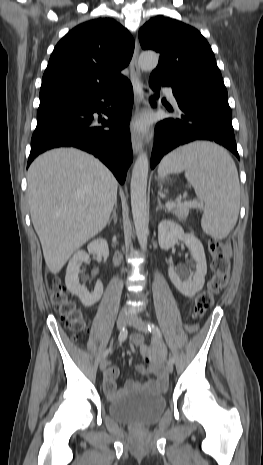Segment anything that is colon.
Wrapping results in <instances>:
<instances>
[{
    "mask_svg": "<svg viewBox=\"0 0 263 465\" xmlns=\"http://www.w3.org/2000/svg\"><path fill=\"white\" fill-rule=\"evenodd\" d=\"M211 255V269L213 276L207 283V287L195 299L193 314L196 318L202 317L213 305L215 296L226 286L230 261L223 242L211 239L208 242ZM51 300L59 311L63 320L75 334H81L85 329V322L73 301H71L59 280H54L51 286Z\"/></svg>",
    "mask_w": 263,
    "mask_h": 465,
    "instance_id": "colon-1",
    "label": "colon"
}]
</instances>
